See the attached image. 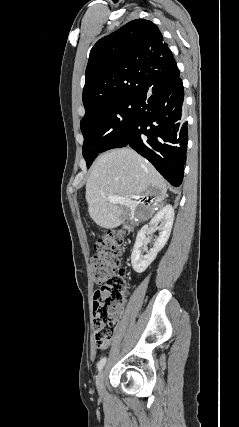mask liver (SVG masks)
I'll use <instances>...</instances> for the list:
<instances>
[{"label":"liver","instance_id":"6515ba94","mask_svg":"<svg viewBox=\"0 0 239 427\" xmlns=\"http://www.w3.org/2000/svg\"><path fill=\"white\" fill-rule=\"evenodd\" d=\"M154 190H158L154 200L162 206L167 185L160 173L130 148L111 150L100 155L91 167L86 184L89 215L100 227L115 228L135 214L136 205L110 203L108 195L152 196Z\"/></svg>","mask_w":239,"mask_h":427}]
</instances>
